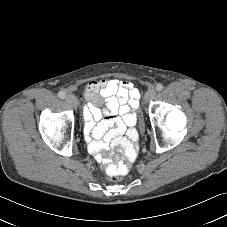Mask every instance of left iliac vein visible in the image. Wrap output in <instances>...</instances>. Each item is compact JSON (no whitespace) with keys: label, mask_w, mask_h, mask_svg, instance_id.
<instances>
[{"label":"left iliac vein","mask_w":227,"mask_h":227,"mask_svg":"<svg viewBox=\"0 0 227 227\" xmlns=\"http://www.w3.org/2000/svg\"><path fill=\"white\" fill-rule=\"evenodd\" d=\"M156 96V90L155 89H149L144 96L145 102H149Z\"/></svg>","instance_id":"4c4485c4"}]
</instances>
